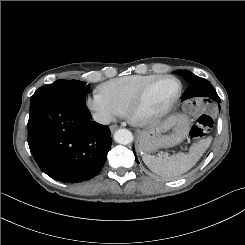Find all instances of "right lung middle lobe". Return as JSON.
I'll return each mask as SVG.
<instances>
[{
  "instance_id": "dd1d6c3e",
  "label": "right lung middle lobe",
  "mask_w": 245,
  "mask_h": 245,
  "mask_svg": "<svg viewBox=\"0 0 245 245\" xmlns=\"http://www.w3.org/2000/svg\"><path fill=\"white\" fill-rule=\"evenodd\" d=\"M90 85L78 80H57L40 87L30 98V108L38 103L57 100L70 105L86 106L85 98Z\"/></svg>"
}]
</instances>
